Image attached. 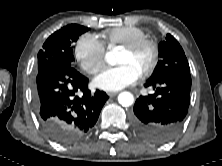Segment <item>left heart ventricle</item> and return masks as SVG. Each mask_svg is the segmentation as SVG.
<instances>
[{
	"label": "left heart ventricle",
	"instance_id": "b2bd125f",
	"mask_svg": "<svg viewBox=\"0 0 222 166\" xmlns=\"http://www.w3.org/2000/svg\"><path fill=\"white\" fill-rule=\"evenodd\" d=\"M150 59L151 51L148 48H143L136 53H129L123 50L119 58V63H130L142 72L148 66Z\"/></svg>",
	"mask_w": 222,
	"mask_h": 166
}]
</instances>
